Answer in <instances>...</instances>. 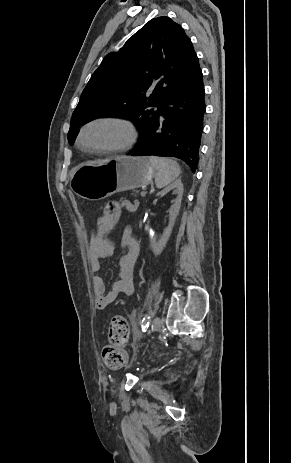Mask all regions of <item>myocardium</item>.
<instances>
[{"instance_id":"myocardium-1","label":"myocardium","mask_w":291,"mask_h":463,"mask_svg":"<svg viewBox=\"0 0 291 463\" xmlns=\"http://www.w3.org/2000/svg\"><path fill=\"white\" fill-rule=\"evenodd\" d=\"M116 124L121 126L125 132L126 137L122 143L115 144V145H101V146H89L83 142L84 135L86 131L98 124ZM138 137L137 129L132 121L129 119L119 116V115H106V116H99L95 117L86 123H84L77 134L76 143L77 146L82 149L83 151L89 153H121L128 151L131 149L134 144L136 143Z\"/></svg>"}]
</instances>
